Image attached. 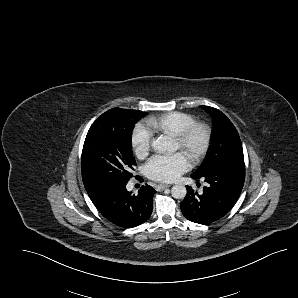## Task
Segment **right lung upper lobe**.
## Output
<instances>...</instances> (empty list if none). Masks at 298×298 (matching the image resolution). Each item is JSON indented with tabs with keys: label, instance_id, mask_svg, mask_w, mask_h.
<instances>
[{
	"label": "right lung upper lobe",
	"instance_id": "cb5924a9",
	"mask_svg": "<svg viewBox=\"0 0 298 298\" xmlns=\"http://www.w3.org/2000/svg\"><path fill=\"white\" fill-rule=\"evenodd\" d=\"M135 111H137V112H140V113H142V114H144V115H147V113H143V112H141V111H138V110H135Z\"/></svg>",
	"mask_w": 298,
	"mask_h": 298
}]
</instances>
